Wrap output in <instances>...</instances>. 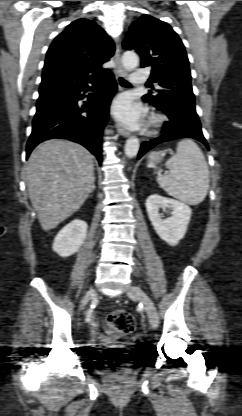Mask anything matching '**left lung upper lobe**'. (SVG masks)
I'll list each match as a JSON object with an SVG mask.
<instances>
[{"instance_id": "obj_1", "label": "left lung upper lobe", "mask_w": 242, "mask_h": 416, "mask_svg": "<svg viewBox=\"0 0 242 416\" xmlns=\"http://www.w3.org/2000/svg\"><path fill=\"white\" fill-rule=\"evenodd\" d=\"M123 48L141 56V67H152L151 79L161 87L143 100L165 111L181 106L195 109L185 47L170 25L142 15L132 23Z\"/></svg>"}]
</instances>
